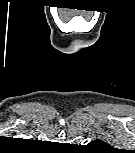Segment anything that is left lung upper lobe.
I'll return each instance as SVG.
<instances>
[{
    "label": "left lung upper lobe",
    "mask_w": 135,
    "mask_h": 153,
    "mask_svg": "<svg viewBox=\"0 0 135 153\" xmlns=\"http://www.w3.org/2000/svg\"><path fill=\"white\" fill-rule=\"evenodd\" d=\"M91 145L97 146V147H108V144L105 143V142H103V141H101V140L93 141V142L91 143Z\"/></svg>",
    "instance_id": "5c2ea615"
}]
</instances>
